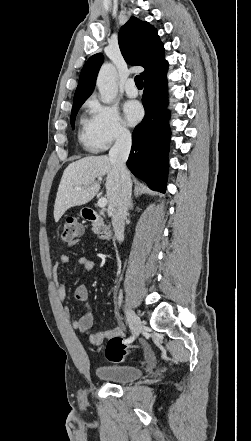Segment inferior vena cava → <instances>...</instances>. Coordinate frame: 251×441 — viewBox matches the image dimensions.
Returning a JSON list of instances; mask_svg holds the SVG:
<instances>
[{
	"label": "inferior vena cava",
	"instance_id": "1",
	"mask_svg": "<svg viewBox=\"0 0 251 441\" xmlns=\"http://www.w3.org/2000/svg\"><path fill=\"white\" fill-rule=\"evenodd\" d=\"M131 144L130 132L126 129H120L115 144L109 151V158L115 163L119 172L120 190L112 211V225L115 239L119 242L124 240L125 219L128 215L132 191L130 173L126 168V161L130 153Z\"/></svg>",
	"mask_w": 251,
	"mask_h": 441
}]
</instances>
